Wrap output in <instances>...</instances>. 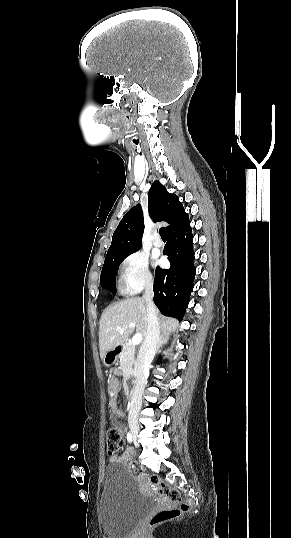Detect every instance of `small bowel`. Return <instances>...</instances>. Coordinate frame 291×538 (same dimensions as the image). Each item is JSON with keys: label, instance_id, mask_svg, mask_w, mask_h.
Here are the masks:
<instances>
[{"label": "small bowel", "instance_id": "1", "mask_svg": "<svg viewBox=\"0 0 291 538\" xmlns=\"http://www.w3.org/2000/svg\"><path fill=\"white\" fill-rule=\"evenodd\" d=\"M117 371H114L108 378V388L111 393V421L115 425V427L123 433L124 427L120 423L119 418L121 417V412L117 409L116 406V396L119 391V383L116 378ZM133 455V449L127 448L122 454L119 455H113L110 457V462L112 463H125L129 464L132 460Z\"/></svg>", "mask_w": 291, "mask_h": 538}]
</instances>
